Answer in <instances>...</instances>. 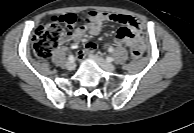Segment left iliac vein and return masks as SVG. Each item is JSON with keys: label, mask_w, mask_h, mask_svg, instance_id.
I'll list each match as a JSON object with an SVG mask.
<instances>
[{"label": "left iliac vein", "mask_w": 194, "mask_h": 133, "mask_svg": "<svg viewBox=\"0 0 194 133\" xmlns=\"http://www.w3.org/2000/svg\"><path fill=\"white\" fill-rule=\"evenodd\" d=\"M90 57L104 70L108 72H114L116 70V67L109 63L108 61L104 60L102 57L98 55H90Z\"/></svg>", "instance_id": "1"}]
</instances>
